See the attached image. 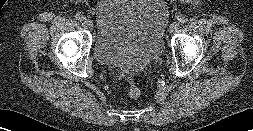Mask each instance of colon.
<instances>
[{
	"label": "colon",
	"mask_w": 253,
	"mask_h": 131,
	"mask_svg": "<svg viewBox=\"0 0 253 131\" xmlns=\"http://www.w3.org/2000/svg\"><path fill=\"white\" fill-rule=\"evenodd\" d=\"M125 80L128 86V90H127L128 96L132 99L138 98L140 95V89L138 87L135 76L128 75Z\"/></svg>",
	"instance_id": "colon-1"
}]
</instances>
